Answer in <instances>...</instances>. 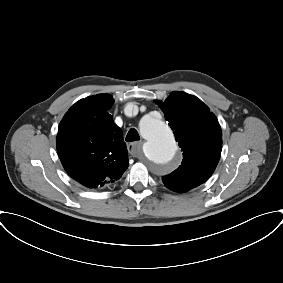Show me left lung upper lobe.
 Listing matches in <instances>:
<instances>
[{
	"label": "left lung upper lobe",
	"instance_id": "5c2ea615",
	"mask_svg": "<svg viewBox=\"0 0 283 283\" xmlns=\"http://www.w3.org/2000/svg\"><path fill=\"white\" fill-rule=\"evenodd\" d=\"M157 103L183 151L181 165L162 181L168 189L183 193L204 183L214 172L221 155V127L209 108L193 95L172 92L164 103Z\"/></svg>",
	"mask_w": 283,
	"mask_h": 283
}]
</instances>
